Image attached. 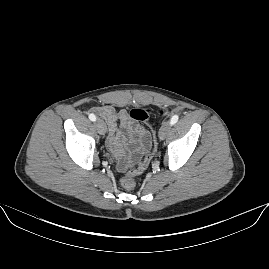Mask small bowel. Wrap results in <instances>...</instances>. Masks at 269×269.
<instances>
[{"mask_svg":"<svg viewBox=\"0 0 269 269\" xmlns=\"http://www.w3.org/2000/svg\"><path fill=\"white\" fill-rule=\"evenodd\" d=\"M93 112L106 120L108 124L107 147L117 160L120 170H125L126 161L124 147L129 141L134 142V149L130 158L140 159V154L145 150L149 132L140 124L129 117L125 109L115 110L108 104L98 105Z\"/></svg>","mask_w":269,"mask_h":269,"instance_id":"c3829d8e","label":"small bowel"}]
</instances>
